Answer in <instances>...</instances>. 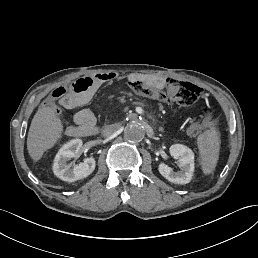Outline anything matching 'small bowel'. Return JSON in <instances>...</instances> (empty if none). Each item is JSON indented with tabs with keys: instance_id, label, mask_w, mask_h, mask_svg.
Returning <instances> with one entry per match:
<instances>
[{
	"instance_id": "1",
	"label": "small bowel",
	"mask_w": 258,
	"mask_h": 258,
	"mask_svg": "<svg viewBox=\"0 0 258 258\" xmlns=\"http://www.w3.org/2000/svg\"><path fill=\"white\" fill-rule=\"evenodd\" d=\"M71 91L60 100L65 110H74L88 103L99 88L90 77H82L72 83ZM74 123L87 135L96 131V117L89 109H81L74 115Z\"/></svg>"
}]
</instances>
